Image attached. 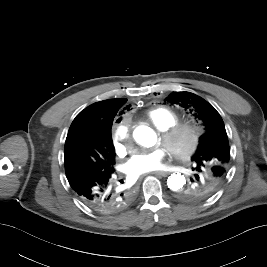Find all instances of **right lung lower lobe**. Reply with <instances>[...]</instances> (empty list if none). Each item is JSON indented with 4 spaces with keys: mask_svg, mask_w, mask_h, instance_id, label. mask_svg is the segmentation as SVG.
<instances>
[{
    "mask_svg": "<svg viewBox=\"0 0 267 267\" xmlns=\"http://www.w3.org/2000/svg\"><path fill=\"white\" fill-rule=\"evenodd\" d=\"M117 174L114 167L107 171L90 170L68 179L78 197L95 211L110 214L127 208L134 200L131 189L116 188Z\"/></svg>",
    "mask_w": 267,
    "mask_h": 267,
    "instance_id": "obj_1",
    "label": "right lung lower lobe"
}]
</instances>
